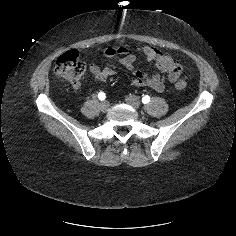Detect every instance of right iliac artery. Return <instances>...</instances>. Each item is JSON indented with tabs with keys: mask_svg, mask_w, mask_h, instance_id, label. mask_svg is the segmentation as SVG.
Wrapping results in <instances>:
<instances>
[{
	"mask_svg": "<svg viewBox=\"0 0 236 236\" xmlns=\"http://www.w3.org/2000/svg\"><path fill=\"white\" fill-rule=\"evenodd\" d=\"M98 98H99V100H105V98H106V95H105V93L104 92H99L98 93Z\"/></svg>",
	"mask_w": 236,
	"mask_h": 236,
	"instance_id": "right-iliac-artery-1",
	"label": "right iliac artery"
}]
</instances>
